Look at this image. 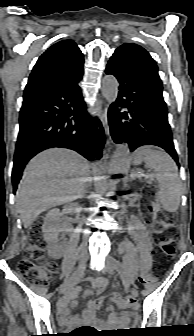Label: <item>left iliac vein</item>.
<instances>
[{
  "instance_id": "obj_1",
  "label": "left iliac vein",
  "mask_w": 194,
  "mask_h": 336,
  "mask_svg": "<svg viewBox=\"0 0 194 336\" xmlns=\"http://www.w3.org/2000/svg\"><path fill=\"white\" fill-rule=\"evenodd\" d=\"M119 267H120V263L115 258H113L112 256H108L106 258V268L105 269L108 272L113 273L114 271L119 270ZM131 294L133 297H138L139 295L137 289L135 288L131 289Z\"/></svg>"
}]
</instances>
